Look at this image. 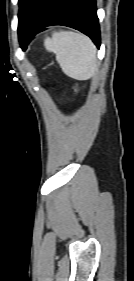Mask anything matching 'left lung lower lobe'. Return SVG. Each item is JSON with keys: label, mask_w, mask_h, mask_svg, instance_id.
<instances>
[{"label": "left lung lower lobe", "mask_w": 134, "mask_h": 281, "mask_svg": "<svg viewBox=\"0 0 134 281\" xmlns=\"http://www.w3.org/2000/svg\"><path fill=\"white\" fill-rule=\"evenodd\" d=\"M50 25L77 29L89 36L97 48L100 47L95 0H41L25 28L18 32L21 48L26 50L31 38Z\"/></svg>", "instance_id": "1"}]
</instances>
